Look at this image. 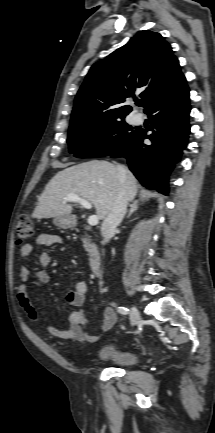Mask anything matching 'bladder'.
Instances as JSON below:
<instances>
[{
    "instance_id": "31cf9c89",
    "label": "bladder",
    "mask_w": 215,
    "mask_h": 433,
    "mask_svg": "<svg viewBox=\"0 0 215 433\" xmlns=\"http://www.w3.org/2000/svg\"><path fill=\"white\" fill-rule=\"evenodd\" d=\"M95 358L99 361L122 367L135 366L140 361V356L136 352L120 348L113 344H106L100 347L96 351Z\"/></svg>"
}]
</instances>
